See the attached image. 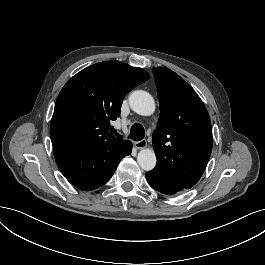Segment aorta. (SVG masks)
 Wrapping results in <instances>:
<instances>
[{
	"label": "aorta",
	"mask_w": 265,
	"mask_h": 265,
	"mask_svg": "<svg viewBox=\"0 0 265 265\" xmlns=\"http://www.w3.org/2000/svg\"><path fill=\"white\" fill-rule=\"evenodd\" d=\"M128 99L130 108L139 115L149 116L155 111L154 98L146 91H133ZM137 162L143 170L150 171L156 165V155L151 149H142L137 155Z\"/></svg>",
	"instance_id": "762f6f07"
}]
</instances>
